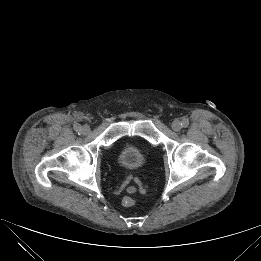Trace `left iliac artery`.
Wrapping results in <instances>:
<instances>
[{"instance_id": "left-iliac-artery-1", "label": "left iliac artery", "mask_w": 261, "mask_h": 261, "mask_svg": "<svg viewBox=\"0 0 261 261\" xmlns=\"http://www.w3.org/2000/svg\"><path fill=\"white\" fill-rule=\"evenodd\" d=\"M182 127H187L189 125V120L184 118L181 123Z\"/></svg>"}]
</instances>
